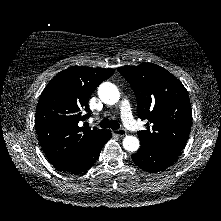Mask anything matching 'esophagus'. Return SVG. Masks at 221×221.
<instances>
[{
	"mask_svg": "<svg viewBox=\"0 0 221 221\" xmlns=\"http://www.w3.org/2000/svg\"><path fill=\"white\" fill-rule=\"evenodd\" d=\"M113 134L119 137H124L127 133L124 129H118V130H114Z\"/></svg>",
	"mask_w": 221,
	"mask_h": 221,
	"instance_id": "obj_1",
	"label": "esophagus"
}]
</instances>
